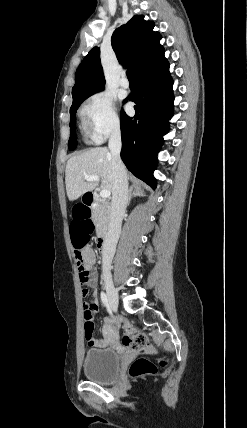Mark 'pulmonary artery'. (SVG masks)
I'll list each match as a JSON object with an SVG mask.
<instances>
[{"instance_id": "1", "label": "pulmonary artery", "mask_w": 247, "mask_h": 428, "mask_svg": "<svg viewBox=\"0 0 247 428\" xmlns=\"http://www.w3.org/2000/svg\"><path fill=\"white\" fill-rule=\"evenodd\" d=\"M120 85H121V87L122 88H128L129 87V82H128V80L126 79V77L125 76H123L122 78H121V80H120Z\"/></svg>"}]
</instances>
